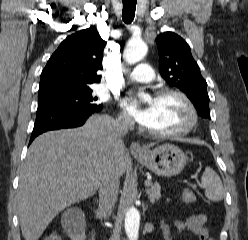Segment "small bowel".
Returning a JSON list of instances; mask_svg holds the SVG:
<instances>
[{
  "mask_svg": "<svg viewBox=\"0 0 248 240\" xmlns=\"http://www.w3.org/2000/svg\"><path fill=\"white\" fill-rule=\"evenodd\" d=\"M207 217L203 213L192 214L185 220H179L174 224V230L177 234L190 233L198 240H212L209 231L206 228ZM162 234L166 240H175L174 232L169 225L162 221L160 223Z\"/></svg>",
  "mask_w": 248,
  "mask_h": 240,
  "instance_id": "1",
  "label": "small bowel"
}]
</instances>
